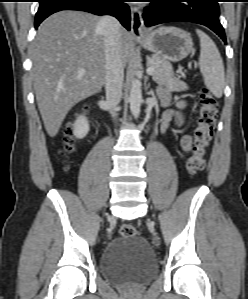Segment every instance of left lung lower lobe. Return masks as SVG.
Instances as JSON below:
<instances>
[{
	"mask_svg": "<svg viewBox=\"0 0 248 299\" xmlns=\"http://www.w3.org/2000/svg\"><path fill=\"white\" fill-rule=\"evenodd\" d=\"M143 19L147 27L171 22L187 21L202 24L213 30L226 43L219 21L218 0H150Z\"/></svg>",
	"mask_w": 248,
	"mask_h": 299,
	"instance_id": "obj_1",
	"label": "left lung lower lobe"
}]
</instances>
